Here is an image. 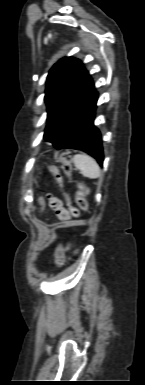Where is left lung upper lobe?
Returning <instances> with one entry per match:
<instances>
[{
    "mask_svg": "<svg viewBox=\"0 0 145 385\" xmlns=\"http://www.w3.org/2000/svg\"><path fill=\"white\" fill-rule=\"evenodd\" d=\"M92 83L82 63L65 57L58 61L47 77L45 101L47 103V127L44 138L50 141L62 120L81 100Z\"/></svg>",
    "mask_w": 145,
    "mask_h": 385,
    "instance_id": "5c2ea615",
    "label": "left lung upper lobe"
}]
</instances>
